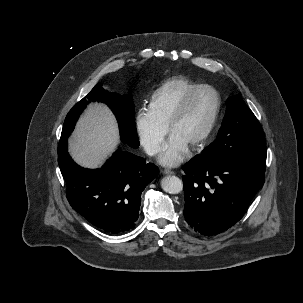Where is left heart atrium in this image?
<instances>
[{"label": "left heart atrium", "instance_id": "left-heart-atrium-1", "mask_svg": "<svg viewBox=\"0 0 303 303\" xmlns=\"http://www.w3.org/2000/svg\"><path fill=\"white\" fill-rule=\"evenodd\" d=\"M189 145L177 134L172 133L163 147L159 162L168 167L179 165L187 156Z\"/></svg>", "mask_w": 303, "mask_h": 303}]
</instances>
